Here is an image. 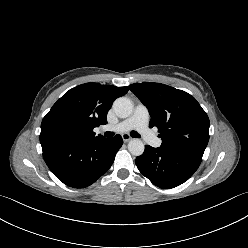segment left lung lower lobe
Masks as SVG:
<instances>
[{"label": "left lung lower lobe", "instance_id": "obj_1", "mask_svg": "<svg viewBox=\"0 0 248 248\" xmlns=\"http://www.w3.org/2000/svg\"><path fill=\"white\" fill-rule=\"evenodd\" d=\"M202 158L145 146L136 158L139 171L160 188H174L187 181L198 169Z\"/></svg>", "mask_w": 248, "mask_h": 248}]
</instances>
